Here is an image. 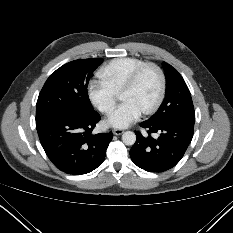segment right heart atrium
I'll list each match as a JSON object with an SVG mask.
<instances>
[{"label":"right heart atrium","mask_w":233,"mask_h":233,"mask_svg":"<svg viewBox=\"0 0 233 233\" xmlns=\"http://www.w3.org/2000/svg\"><path fill=\"white\" fill-rule=\"evenodd\" d=\"M87 93L91 103L103 114H110L115 108L117 94L110 85L102 80L89 82Z\"/></svg>","instance_id":"d8ad5b80"}]
</instances>
